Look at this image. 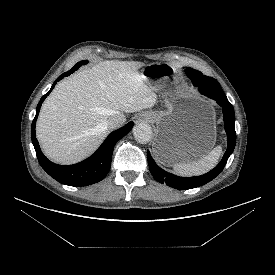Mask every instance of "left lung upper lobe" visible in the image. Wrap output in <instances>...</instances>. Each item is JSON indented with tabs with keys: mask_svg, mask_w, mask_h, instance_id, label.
<instances>
[{
	"mask_svg": "<svg viewBox=\"0 0 275 275\" xmlns=\"http://www.w3.org/2000/svg\"><path fill=\"white\" fill-rule=\"evenodd\" d=\"M186 72H187V73H201V72H199V71H197V70H194V69H192V68H187ZM201 74H202V73H201ZM214 87H215L216 89H218V91H221L222 93H224L223 90L221 89L220 84H219L215 79H214ZM202 93H203V92H202Z\"/></svg>",
	"mask_w": 275,
	"mask_h": 275,
	"instance_id": "left-lung-upper-lobe-1",
	"label": "left lung upper lobe"
}]
</instances>
